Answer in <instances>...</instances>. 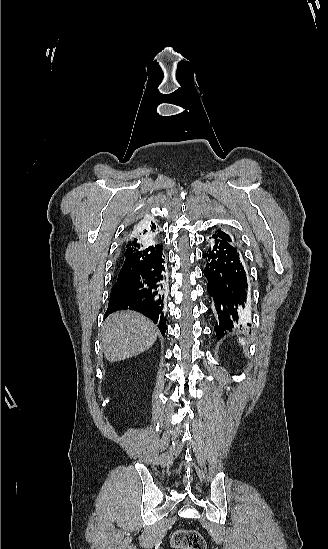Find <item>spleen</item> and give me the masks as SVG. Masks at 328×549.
I'll use <instances>...</instances> for the list:
<instances>
[{"mask_svg":"<svg viewBox=\"0 0 328 549\" xmlns=\"http://www.w3.org/2000/svg\"><path fill=\"white\" fill-rule=\"evenodd\" d=\"M238 341H239L240 345H243V347H244V345H246L244 339H238Z\"/></svg>","mask_w":328,"mask_h":549,"instance_id":"3e777b00","label":"spleen"}]
</instances>
